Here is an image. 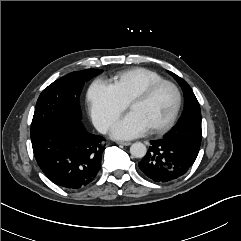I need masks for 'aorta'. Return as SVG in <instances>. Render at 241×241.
Returning <instances> with one entry per match:
<instances>
[{"mask_svg":"<svg viewBox=\"0 0 241 241\" xmlns=\"http://www.w3.org/2000/svg\"><path fill=\"white\" fill-rule=\"evenodd\" d=\"M146 146L141 142L133 143L130 147V153L135 158H143L146 155Z\"/></svg>","mask_w":241,"mask_h":241,"instance_id":"1","label":"aorta"}]
</instances>
